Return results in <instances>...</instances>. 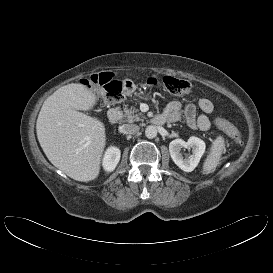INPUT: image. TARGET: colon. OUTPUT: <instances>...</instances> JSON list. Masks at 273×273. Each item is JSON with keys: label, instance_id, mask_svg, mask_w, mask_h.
Masks as SVG:
<instances>
[{"label": "colon", "instance_id": "obj_1", "mask_svg": "<svg viewBox=\"0 0 273 273\" xmlns=\"http://www.w3.org/2000/svg\"><path fill=\"white\" fill-rule=\"evenodd\" d=\"M162 83L166 90L177 96L186 95L190 91V83L183 79H178L171 76H165L162 79ZM84 85H97L103 87L104 96L111 101L121 99L123 84L121 81L114 78V74L111 72H100L91 75L88 79L83 81ZM150 87L156 88L159 86L160 81L152 78L148 81ZM215 124L218 128L226 133V135L235 143H241L242 137L239 130L228 120L218 118L215 120Z\"/></svg>", "mask_w": 273, "mask_h": 273}]
</instances>
